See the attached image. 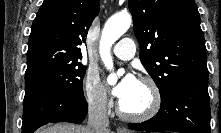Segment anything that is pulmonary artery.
<instances>
[{"mask_svg":"<svg viewBox=\"0 0 221 133\" xmlns=\"http://www.w3.org/2000/svg\"><path fill=\"white\" fill-rule=\"evenodd\" d=\"M112 51L118 58L129 60L135 54V43L130 38H124L113 48Z\"/></svg>","mask_w":221,"mask_h":133,"instance_id":"pulmonary-artery-1","label":"pulmonary artery"}]
</instances>
